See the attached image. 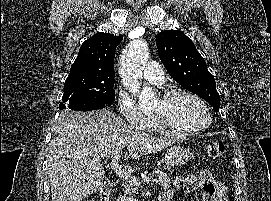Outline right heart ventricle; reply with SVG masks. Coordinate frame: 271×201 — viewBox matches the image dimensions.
Returning a JSON list of instances; mask_svg holds the SVG:
<instances>
[{
	"mask_svg": "<svg viewBox=\"0 0 271 201\" xmlns=\"http://www.w3.org/2000/svg\"><path fill=\"white\" fill-rule=\"evenodd\" d=\"M150 131H157L159 133H164L157 125L156 121H153L152 124L148 128Z\"/></svg>",
	"mask_w": 271,
	"mask_h": 201,
	"instance_id": "e07e8e85",
	"label": "right heart ventricle"
}]
</instances>
